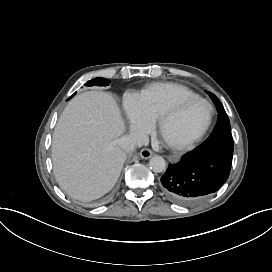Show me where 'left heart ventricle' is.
<instances>
[{
    "mask_svg": "<svg viewBox=\"0 0 272 272\" xmlns=\"http://www.w3.org/2000/svg\"><path fill=\"white\" fill-rule=\"evenodd\" d=\"M205 116V107L201 103H192L183 112L169 117L168 127L176 136L183 137L197 130Z\"/></svg>",
    "mask_w": 272,
    "mask_h": 272,
    "instance_id": "obj_1",
    "label": "left heart ventricle"
}]
</instances>
